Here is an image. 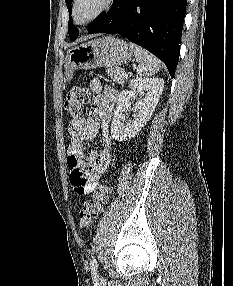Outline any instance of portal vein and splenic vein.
<instances>
[{
	"label": "portal vein and splenic vein",
	"instance_id": "obj_1",
	"mask_svg": "<svg viewBox=\"0 0 233 286\" xmlns=\"http://www.w3.org/2000/svg\"><path fill=\"white\" fill-rule=\"evenodd\" d=\"M125 77H128V75L126 73L123 74Z\"/></svg>",
	"mask_w": 233,
	"mask_h": 286
}]
</instances>
